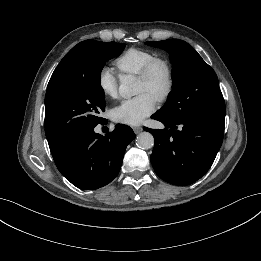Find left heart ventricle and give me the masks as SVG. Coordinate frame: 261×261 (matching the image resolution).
<instances>
[{
  "mask_svg": "<svg viewBox=\"0 0 261 261\" xmlns=\"http://www.w3.org/2000/svg\"><path fill=\"white\" fill-rule=\"evenodd\" d=\"M166 84V73L163 68H158L153 79L149 82L138 79L136 85V93H148L154 98L163 90Z\"/></svg>",
  "mask_w": 261,
  "mask_h": 261,
  "instance_id": "obj_1",
  "label": "left heart ventricle"
}]
</instances>
